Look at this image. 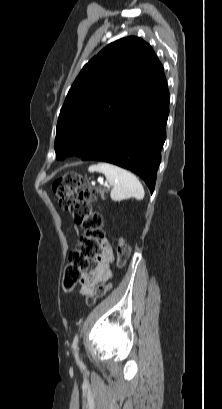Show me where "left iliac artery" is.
Instances as JSON below:
<instances>
[{
	"mask_svg": "<svg viewBox=\"0 0 222 409\" xmlns=\"http://www.w3.org/2000/svg\"><path fill=\"white\" fill-rule=\"evenodd\" d=\"M78 341H79V336L78 334L75 335L74 339H73V343H72V349L74 351L75 354V358L79 359V355H78V351H79V347H78Z\"/></svg>",
	"mask_w": 222,
	"mask_h": 409,
	"instance_id": "1",
	"label": "left iliac artery"
}]
</instances>
